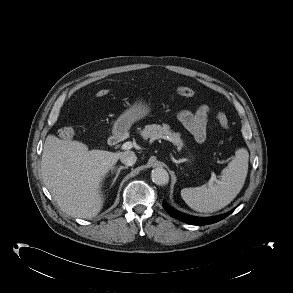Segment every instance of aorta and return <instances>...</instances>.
I'll return each instance as SVG.
<instances>
[{
  "label": "aorta",
  "instance_id": "aorta-1",
  "mask_svg": "<svg viewBox=\"0 0 293 293\" xmlns=\"http://www.w3.org/2000/svg\"><path fill=\"white\" fill-rule=\"evenodd\" d=\"M152 181L159 186L166 185L169 182V174L164 168H155L151 172Z\"/></svg>",
  "mask_w": 293,
  "mask_h": 293
}]
</instances>
